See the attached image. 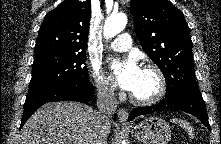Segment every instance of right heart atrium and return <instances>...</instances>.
Instances as JSON below:
<instances>
[{"instance_id":"obj_1","label":"right heart atrium","mask_w":221,"mask_h":144,"mask_svg":"<svg viewBox=\"0 0 221 144\" xmlns=\"http://www.w3.org/2000/svg\"><path fill=\"white\" fill-rule=\"evenodd\" d=\"M91 74L98 93L104 98L114 97L115 84L102 72L99 65L92 66Z\"/></svg>"}]
</instances>
